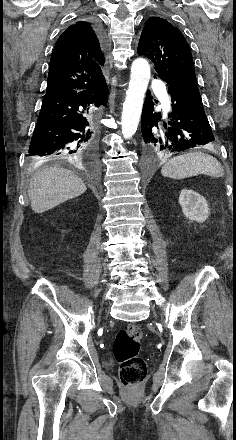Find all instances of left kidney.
Instances as JSON below:
<instances>
[{"instance_id":"left-kidney-1","label":"left kidney","mask_w":236,"mask_h":440,"mask_svg":"<svg viewBox=\"0 0 236 440\" xmlns=\"http://www.w3.org/2000/svg\"><path fill=\"white\" fill-rule=\"evenodd\" d=\"M179 204L185 217L191 221L202 223L209 216L210 212L206 199L194 190L182 189Z\"/></svg>"}]
</instances>
